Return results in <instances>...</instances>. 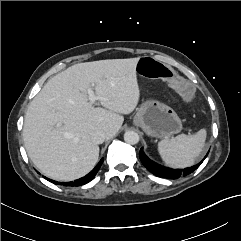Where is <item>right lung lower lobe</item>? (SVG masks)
Masks as SVG:
<instances>
[{
  "mask_svg": "<svg viewBox=\"0 0 241 241\" xmlns=\"http://www.w3.org/2000/svg\"><path fill=\"white\" fill-rule=\"evenodd\" d=\"M102 162H103V158L100 160V162L97 164V166L89 174H87L86 176H84L80 179L75 180L74 182L63 183L64 186H80V185H84V184L90 182L97 174L99 168L102 165ZM47 180H49L50 182H52L54 184H60V185L62 184V183H59V182H56V181H53L50 179H47Z\"/></svg>",
  "mask_w": 241,
  "mask_h": 241,
  "instance_id": "right-lung-lower-lobe-1",
  "label": "right lung lower lobe"
}]
</instances>
